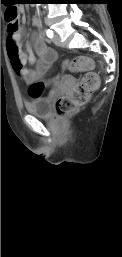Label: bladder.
Returning <instances> with one entry per match:
<instances>
[{
	"label": "bladder",
	"instance_id": "1",
	"mask_svg": "<svg viewBox=\"0 0 122 257\" xmlns=\"http://www.w3.org/2000/svg\"><path fill=\"white\" fill-rule=\"evenodd\" d=\"M25 107L27 112L32 115L46 117L50 115L52 110V98L49 96L35 97L26 103Z\"/></svg>",
	"mask_w": 122,
	"mask_h": 257
}]
</instances>
